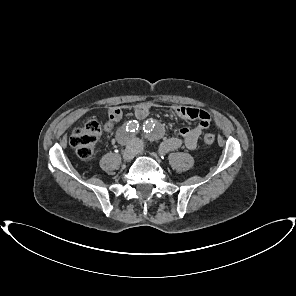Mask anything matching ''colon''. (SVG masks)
<instances>
[{"label": "colon", "mask_w": 296, "mask_h": 296, "mask_svg": "<svg viewBox=\"0 0 296 296\" xmlns=\"http://www.w3.org/2000/svg\"><path fill=\"white\" fill-rule=\"evenodd\" d=\"M100 134V127L96 121H88L82 127L76 128L70 138L69 144L82 160H90L95 151V147ZM215 142V136L207 133L203 137V145L211 146Z\"/></svg>", "instance_id": "colon-1"}]
</instances>
